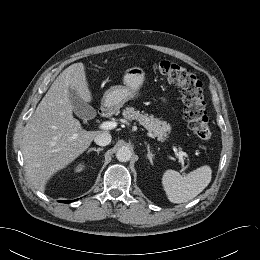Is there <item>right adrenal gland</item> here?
I'll use <instances>...</instances> for the list:
<instances>
[{
    "instance_id": "right-adrenal-gland-1",
    "label": "right adrenal gland",
    "mask_w": 260,
    "mask_h": 260,
    "mask_svg": "<svg viewBox=\"0 0 260 260\" xmlns=\"http://www.w3.org/2000/svg\"><path fill=\"white\" fill-rule=\"evenodd\" d=\"M103 150V148H90L89 150H88V152H91V151H95V152H97L98 154H99V152L100 151H102Z\"/></svg>"
}]
</instances>
